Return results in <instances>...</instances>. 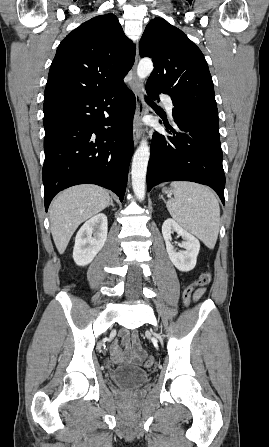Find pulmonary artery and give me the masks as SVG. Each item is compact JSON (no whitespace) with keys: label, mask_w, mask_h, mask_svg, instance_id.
<instances>
[{"label":"pulmonary artery","mask_w":269,"mask_h":447,"mask_svg":"<svg viewBox=\"0 0 269 447\" xmlns=\"http://www.w3.org/2000/svg\"><path fill=\"white\" fill-rule=\"evenodd\" d=\"M158 96H159L160 98H163L164 106H165V108H166V110H167V112H168L170 118L172 119V118H173V103H172L171 98L168 97V96H165V93H164L163 91H160V92L158 93ZM164 96H165V97H164Z\"/></svg>","instance_id":"1"}]
</instances>
